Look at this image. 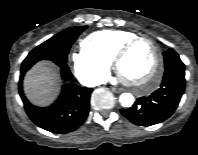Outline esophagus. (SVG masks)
<instances>
[{
    "mask_svg": "<svg viewBox=\"0 0 198 155\" xmlns=\"http://www.w3.org/2000/svg\"><path fill=\"white\" fill-rule=\"evenodd\" d=\"M111 90L114 92V93H120L122 90L121 89H118V88H115V87H112Z\"/></svg>",
    "mask_w": 198,
    "mask_h": 155,
    "instance_id": "obj_1",
    "label": "esophagus"
}]
</instances>
